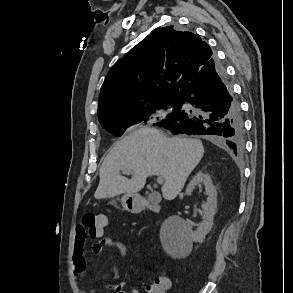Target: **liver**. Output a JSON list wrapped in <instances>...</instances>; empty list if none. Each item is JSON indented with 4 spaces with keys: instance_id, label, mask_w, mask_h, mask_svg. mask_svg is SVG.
Masks as SVG:
<instances>
[{
    "instance_id": "6515ba94",
    "label": "liver",
    "mask_w": 293,
    "mask_h": 293,
    "mask_svg": "<svg viewBox=\"0 0 293 293\" xmlns=\"http://www.w3.org/2000/svg\"><path fill=\"white\" fill-rule=\"evenodd\" d=\"M204 154L200 140L168 138L160 130L142 127L117 141L104 159L96 199L133 195L141 191L147 177L162 176L164 199H175ZM131 173V179L121 175Z\"/></svg>"
}]
</instances>
